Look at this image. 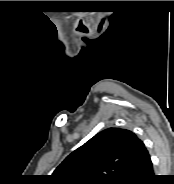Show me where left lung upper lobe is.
<instances>
[{"label": "left lung upper lobe", "mask_w": 174, "mask_h": 184, "mask_svg": "<svg viewBox=\"0 0 174 184\" xmlns=\"http://www.w3.org/2000/svg\"><path fill=\"white\" fill-rule=\"evenodd\" d=\"M141 143L129 130L105 129L72 152L52 177L59 184H125Z\"/></svg>", "instance_id": "1"}]
</instances>
